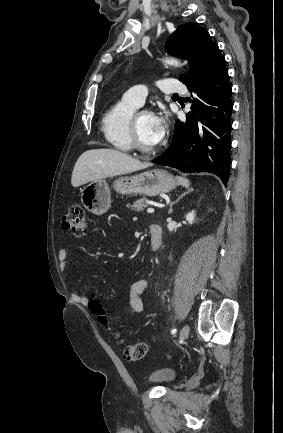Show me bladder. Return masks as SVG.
<instances>
[{"label":"bladder","mask_w":283,"mask_h":433,"mask_svg":"<svg viewBox=\"0 0 283 433\" xmlns=\"http://www.w3.org/2000/svg\"><path fill=\"white\" fill-rule=\"evenodd\" d=\"M175 379V374L172 370L158 368L150 374L152 383L169 384Z\"/></svg>","instance_id":"bladder-1"}]
</instances>
